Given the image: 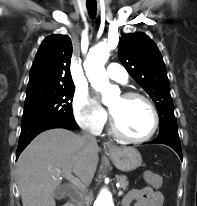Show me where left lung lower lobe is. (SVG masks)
Returning a JSON list of instances; mask_svg holds the SVG:
<instances>
[{"instance_id":"1","label":"left lung lower lobe","mask_w":197,"mask_h":206,"mask_svg":"<svg viewBox=\"0 0 197 206\" xmlns=\"http://www.w3.org/2000/svg\"><path fill=\"white\" fill-rule=\"evenodd\" d=\"M148 144H165L173 148L178 155L180 156L182 160V151H181V145H180V139L179 136H174V135H163V136H158L151 142H148Z\"/></svg>"}]
</instances>
